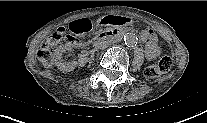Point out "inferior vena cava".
<instances>
[{
	"label": "inferior vena cava",
	"mask_w": 207,
	"mask_h": 123,
	"mask_svg": "<svg viewBox=\"0 0 207 123\" xmlns=\"http://www.w3.org/2000/svg\"><path fill=\"white\" fill-rule=\"evenodd\" d=\"M96 47H97V49H105V48L108 47V43L105 42V41L99 42V43H97V46Z\"/></svg>",
	"instance_id": "obj_1"
}]
</instances>
